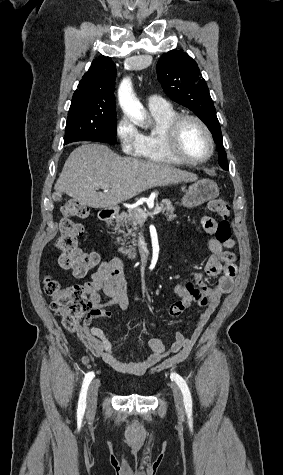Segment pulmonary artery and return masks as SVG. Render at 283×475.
<instances>
[{
    "mask_svg": "<svg viewBox=\"0 0 283 475\" xmlns=\"http://www.w3.org/2000/svg\"><path fill=\"white\" fill-rule=\"evenodd\" d=\"M121 90H130V89H121ZM169 105L170 104L165 99L157 95H151L147 98V106L150 110L166 108Z\"/></svg>",
    "mask_w": 283,
    "mask_h": 475,
    "instance_id": "pulmonary-artery-1",
    "label": "pulmonary artery"
}]
</instances>
